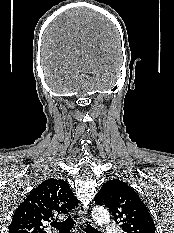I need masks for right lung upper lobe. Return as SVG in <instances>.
Listing matches in <instances>:
<instances>
[{
    "label": "right lung upper lobe",
    "mask_w": 174,
    "mask_h": 233,
    "mask_svg": "<svg viewBox=\"0 0 174 233\" xmlns=\"http://www.w3.org/2000/svg\"><path fill=\"white\" fill-rule=\"evenodd\" d=\"M78 204L67 182L49 179L38 185L15 211L9 233H45L44 224Z\"/></svg>",
    "instance_id": "obj_1"
}]
</instances>
